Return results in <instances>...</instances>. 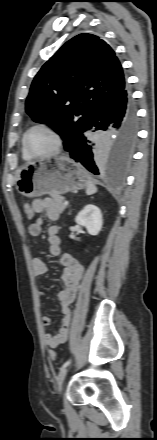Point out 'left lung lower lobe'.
<instances>
[{
  "instance_id": "left-lung-lower-lobe-1",
  "label": "left lung lower lobe",
  "mask_w": 157,
  "mask_h": 440,
  "mask_svg": "<svg viewBox=\"0 0 157 440\" xmlns=\"http://www.w3.org/2000/svg\"><path fill=\"white\" fill-rule=\"evenodd\" d=\"M136 134V108L125 87L94 110L66 151L95 175H119L130 160Z\"/></svg>"
}]
</instances>
